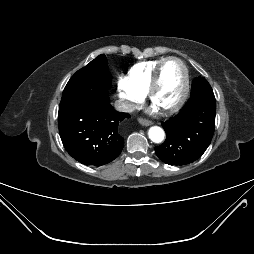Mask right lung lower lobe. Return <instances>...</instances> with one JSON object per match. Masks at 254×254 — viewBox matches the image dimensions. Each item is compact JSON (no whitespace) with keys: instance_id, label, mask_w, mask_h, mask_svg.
I'll use <instances>...</instances> for the list:
<instances>
[{"instance_id":"1","label":"right lung lower lobe","mask_w":254,"mask_h":254,"mask_svg":"<svg viewBox=\"0 0 254 254\" xmlns=\"http://www.w3.org/2000/svg\"><path fill=\"white\" fill-rule=\"evenodd\" d=\"M109 103L107 90L87 85L65 88L59 112V134L66 151L84 165L102 166L122 151L120 123L129 118Z\"/></svg>"}]
</instances>
